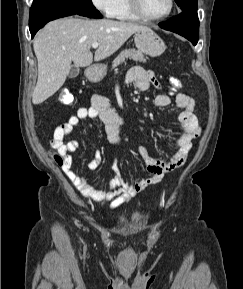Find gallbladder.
<instances>
[{"label": "gallbladder", "instance_id": "bac80fb5", "mask_svg": "<svg viewBox=\"0 0 243 289\" xmlns=\"http://www.w3.org/2000/svg\"><path fill=\"white\" fill-rule=\"evenodd\" d=\"M79 72H80L79 67H77V66H72L71 69H70V72H69V74H68V77H69V78H75V77L78 76Z\"/></svg>", "mask_w": 243, "mask_h": 289}]
</instances>
